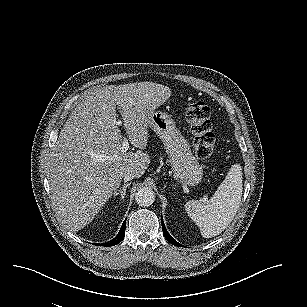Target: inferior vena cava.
Returning <instances> with one entry per match:
<instances>
[{
    "instance_id": "1",
    "label": "inferior vena cava",
    "mask_w": 307,
    "mask_h": 307,
    "mask_svg": "<svg viewBox=\"0 0 307 307\" xmlns=\"http://www.w3.org/2000/svg\"><path fill=\"white\" fill-rule=\"evenodd\" d=\"M135 177L132 171H128L124 174L123 179L125 182L131 181Z\"/></svg>"
}]
</instances>
